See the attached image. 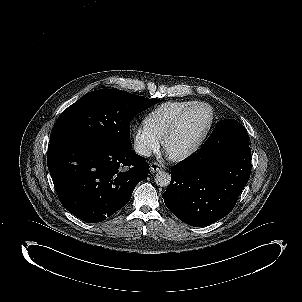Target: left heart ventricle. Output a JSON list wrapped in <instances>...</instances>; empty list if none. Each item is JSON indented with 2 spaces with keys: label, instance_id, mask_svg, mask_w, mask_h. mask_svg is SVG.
<instances>
[{
  "label": "left heart ventricle",
  "instance_id": "obj_1",
  "mask_svg": "<svg viewBox=\"0 0 302 302\" xmlns=\"http://www.w3.org/2000/svg\"><path fill=\"white\" fill-rule=\"evenodd\" d=\"M207 119L204 110L198 109L188 114L170 138L169 147L173 152L188 149L199 137Z\"/></svg>",
  "mask_w": 302,
  "mask_h": 302
}]
</instances>
